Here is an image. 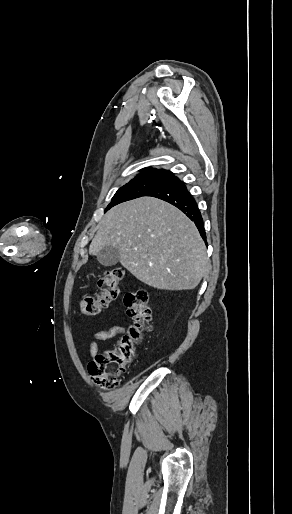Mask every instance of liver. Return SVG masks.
Wrapping results in <instances>:
<instances>
[{
  "mask_svg": "<svg viewBox=\"0 0 292 514\" xmlns=\"http://www.w3.org/2000/svg\"><path fill=\"white\" fill-rule=\"evenodd\" d=\"M89 254L114 246L120 264L158 290H194L208 274L206 246L193 222L157 198H137L105 214Z\"/></svg>",
  "mask_w": 292,
  "mask_h": 514,
  "instance_id": "1",
  "label": "liver"
}]
</instances>
